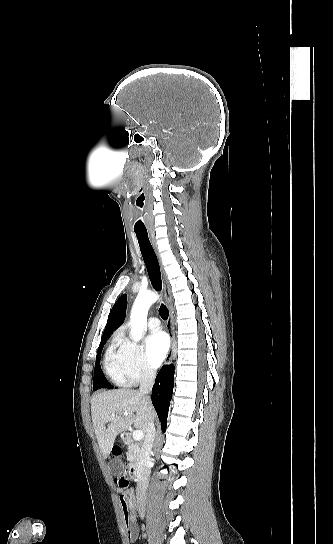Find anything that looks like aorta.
I'll use <instances>...</instances> for the list:
<instances>
[{
	"instance_id": "762f6f07",
	"label": "aorta",
	"mask_w": 333,
	"mask_h": 544,
	"mask_svg": "<svg viewBox=\"0 0 333 544\" xmlns=\"http://www.w3.org/2000/svg\"><path fill=\"white\" fill-rule=\"evenodd\" d=\"M158 298L159 295L152 291L140 292L137 295L130 315V338L132 340L139 341L142 338L147 326L148 310Z\"/></svg>"
}]
</instances>
